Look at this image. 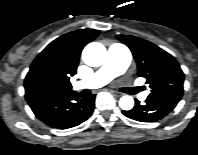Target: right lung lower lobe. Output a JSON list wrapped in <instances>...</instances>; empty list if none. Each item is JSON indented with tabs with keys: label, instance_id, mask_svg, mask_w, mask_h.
<instances>
[{
	"label": "right lung lower lobe",
	"instance_id": "1",
	"mask_svg": "<svg viewBox=\"0 0 198 155\" xmlns=\"http://www.w3.org/2000/svg\"><path fill=\"white\" fill-rule=\"evenodd\" d=\"M95 95L80 98L71 92L29 104L38 119L47 125L68 129L86 121L93 113Z\"/></svg>",
	"mask_w": 198,
	"mask_h": 155
}]
</instances>
